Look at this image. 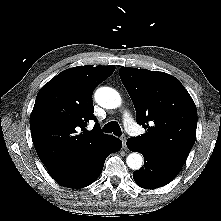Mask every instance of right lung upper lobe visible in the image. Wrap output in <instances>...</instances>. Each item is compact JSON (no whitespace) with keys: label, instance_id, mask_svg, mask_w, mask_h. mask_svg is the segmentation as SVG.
Returning <instances> with one entry per match:
<instances>
[{"label":"right lung upper lobe","instance_id":"1","mask_svg":"<svg viewBox=\"0 0 221 221\" xmlns=\"http://www.w3.org/2000/svg\"><path fill=\"white\" fill-rule=\"evenodd\" d=\"M115 70L114 66H79L50 80L37 94L30 116L36 152L53 179L73 169L80 161L112 138L98 124L87 131L93 114L92 93Z\"/></svg>","mask_w":221,"mask_h":221}]
</instances>
